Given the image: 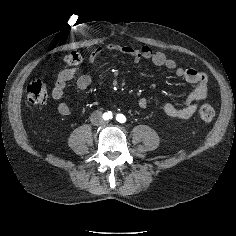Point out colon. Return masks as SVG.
Listing matches in <instances>:
<instances>
[{
    "label": "colon",
    "mask_w": 236,
    "mask_h": 236,
    "mask_svg": "<svg viewBox=\"0 0 236 236\" xmlns=\"http://www.w3.org/2000/svg\"><path fill=\"white\" fill-rule=\"evenodd\" d=\"M68 66H78L82 63V57L77 52H71L62 57ZM27 99L31 104H43L48 97L47 85L44 80L35 78L26 87ZM199 116L204 122H211L214 119L215 111L209 104H202L199 108Z\"/></svg>",
    "instance_id": "5ec220e1"
}]
</instances>
